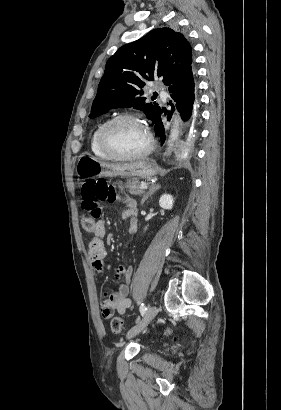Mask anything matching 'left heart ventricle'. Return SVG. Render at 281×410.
<instances>
[{
    "label": "left heart ventricle",
    "mask_w": 281,
    "mask_h": 410,
    "mask_svg": "<svg viewBox=\"0 0 281 410\" xmlns=\"http://www.w3.org/2000/svg\"><path fill=\"white\" fill-rule=\"evenodd\" d=\"M108 142L120 153L133 154L142 151L147 146L148 136L144 127L138 122L122 120L110 129Z\"/></svg>",
    "instance_id": "obj_1"
}]
</instances>
